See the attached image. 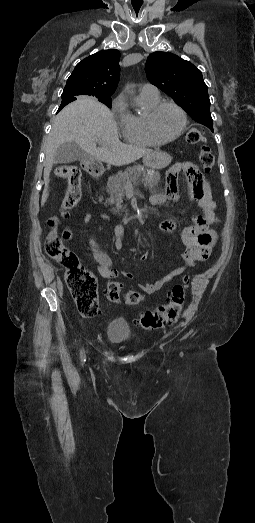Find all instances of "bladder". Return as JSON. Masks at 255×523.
<instances>
[{"instance_id": "obj_1", "label": "bladder", "mask_w": 255, "mask_h": 523, "mask_svg": "<svg viewBox=\"0 0 255 523\" xmlns=\"http://www.w3.org/2000/svg\"><path fill=\"white\" fill-rule=\"evenodd\" d=\"M129 324L122 318H112L108 325V338L118 342L126 339L130 335Z\"/></svg>"}]
</instances>
